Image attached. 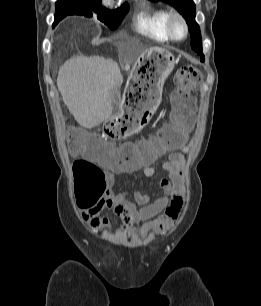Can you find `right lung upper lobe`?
I'll list each match as a JSON object with an SVG mask.
<instances>
[{
	"instance_id": "1",
	"label": "right lung upper lobe",
	"mask_w": 261,
	"mask_h": 306,
	"mask_svg": "<svg viewBox=\"0 0 261 306\" xmlns=\"http://www.w3.org/2000/svg\"><path fill=\"white\" fill-rule=\"evenodd\" d=\"M70 1H74V0H58L56 2V4L62 3V2H70Z\"/></svg>"
}]
</instances>
